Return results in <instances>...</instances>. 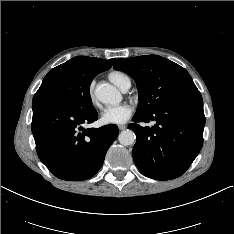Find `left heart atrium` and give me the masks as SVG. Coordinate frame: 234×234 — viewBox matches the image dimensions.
I'll return each instance as SVG.
<instances>
[{"mask_svg": "<svg viewBox=\"0 0 234 234\" xmlns=\"http://www.w3.org/2000/svg\"><path fill=\"white\" fill-rule=\"evenodd\" d=\"M133 114V109L129 104H120L105 109L101 120L105 124H123L127 122Z\"/></svg>", "mask_w": 234, "mask_h": 234, "instance_id": "1", "label": "left heart atrium"}]
</instances>
